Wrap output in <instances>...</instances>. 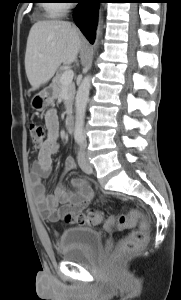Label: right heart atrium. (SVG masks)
Here are the masks:
<instances>
[{
	"instance_id": "d8ad5b80",
	"label": "right heart atrium",
	"mask_w": 181,
	"mask_h": 300,
	"mask_svg": "<svg viewBox=\"0 0 181 300\" xmlns=\"http://www.w3.org/2000/svg\"><path fill=\"white\" fill-rule=\"evenodd\" d=\"M60 1H68V0H60ZM61 4H63V3H61ZM63 5H65V4H63ZM66 6V5H65Z\"/></svg>"
}]
</instances>
